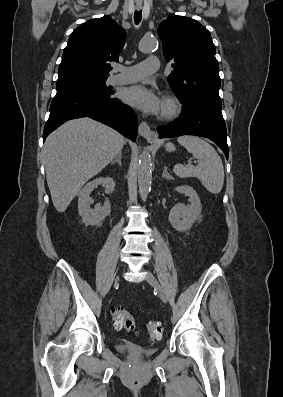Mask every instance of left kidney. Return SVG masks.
Returning <instances> with one entry per match:
<instances>
[{
    "label": "left kidney",
    "mask_w": 283,
    "mask_h": 397,
    "mask_svg": "<svg viewBox=\"0 0 283 397\" xmlns=\"http://www.w3.org/2000/svg\"><path fill=\"white\" fill-rule=\"evenodd\" d=\"M175 190L179 193L189 196L191 205L176 204L169 213L168 221L177 231H186L190 229L193 223L201 216L202 206L196 191L187 185L178 186Z\"/></svg>",
    "instance_id": "left-kidney-1"
}]
</instances>
